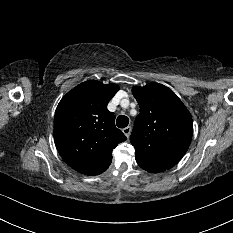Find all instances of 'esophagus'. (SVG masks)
<instances>
[{
  "instance_id": "34e87169",
  "label": "esophagus",
  "mask_w": 233,
  "mask_h": 233,
  "mask_svg": "<svg viewBox=\"0 0 233 233\" xmlns=\"http://www.w3.org/2000/svg\"><path fill=\"white\" fill-rule=\"evenodd\" d=\"M123 133L126 135V137L127 138H129V136H130V133H131V127H125L124 129H123Z\"/></svg>"
}]
</instances>
